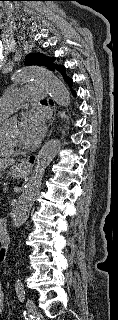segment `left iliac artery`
I'll return each instance as SVG.
<instances>
[{"label":"left iliac artery","mask_w":118,"mask_h":320,"mask_svg":"<svg viewBox=\"0 0 118 320\" xmlns=\"http://www.w3.org/2000/svg\"><path fill=\"white\" fill-rule=\"evenodd\" d=\"M15 289H16V293L17 296L19 298L20 301H24L25 299V290H24V285L21 282V280H16L15 282Z\"/></svg>","instance_id":"44dca946"}]
</instances>
